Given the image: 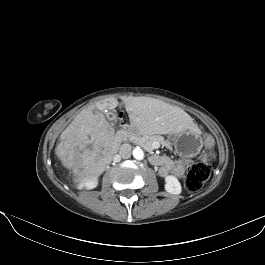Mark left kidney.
Masks as SVG:
<instances>
[{
    "mask_svg": "<svg viewBox=\"0 0 265 265\" xmlns=\"http://www.w3.org/2000/svg\"><path fill=\"white\" fill-rule=\"evenodd\" d=\"M165 190L174 195H178L181 193L182 188L181 184L175 176L169 175L165 177Z\"/></svg>",
    "mask_w": 265,
    "mask_h": 265,
    "instance_id": "obj_1",
    "label": "left kidney"
}]
</instances>
